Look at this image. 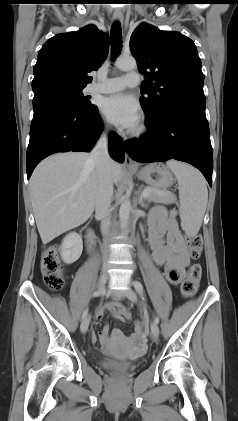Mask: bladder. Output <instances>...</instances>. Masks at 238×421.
Here are the masks:
<instances>
[{
  "label": "bladder",
  "mask_w": 238,
  "mask_h": 421,
  "mask_svg": "<svg viewBox=\"0 0 238 421\" xmlns=\"http://www.w3.org/2000/svg\"><path fill=\"white\" fill-rule=\"evenodd\" d=\"M100 365L102 368L111 371H127L134 367V364L130 361L113 358H104L100 360Z\"/></svg>",
  "instance_id": "1"
}]
</instances>
